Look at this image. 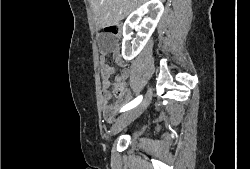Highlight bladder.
Returning <instances> with one entry per match:
<instances>
[{"mask_svg":"<svg viewBox=\"0 0 250 169\" xmlns=\"http://www.w3.org/2000/svg\"><path fill=\"white\" fill-rule=\"evenodd\" d=\"M134 139H139V137H138V136H136V137H134Z\"/></svg>","mask_w":250,"mask_h":169,"instance_id":"31cf9c89","label":"bladder"}]
</instances>
